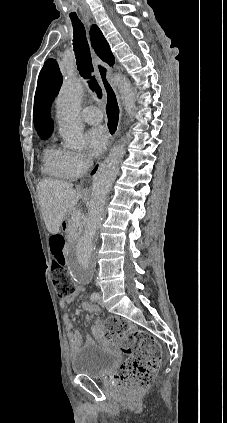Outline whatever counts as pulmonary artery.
I'll return each mask as SVG.
<instances>
[{
	"label": "pulmonary artery",
	"instance_id": "1",
	"mask_svg": "<svg viewBox=\"0 0 227 423\" xmlns=\"http://www.w3.org/2000/svg\"><path fill=\"white\" fill-rule=\"evenodd\" d=\"M81 118L90 125H98L103 120V114L99 108L89 106L82 110Z\"/></svg>",
	"mask_w": 227,
	"mask_h": 423
}]
</instances>
